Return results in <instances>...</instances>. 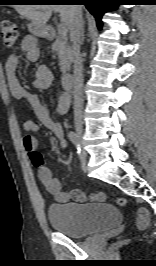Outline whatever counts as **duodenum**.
Instances as JSON below:
<instances>
[{"mask_svg": "<svg viewBox=\"0 0 156 266\" xmlns=\"http://www.w3.org/2000/svg\"><path fill=\"white\" fill-rule=\"evenodd\" d=\"M45 37L47 39H54L56 37V32L53 28H46L45 30ZM62 85H63V88L69 92L71 91L72 89V86H73V76L71 73H65L63 76H62Z\"/></svg>", "mask_w": 156, "mask_h": 266, "instance_id": "duodenum-1", "label": "duodenum"}]
</instances>
